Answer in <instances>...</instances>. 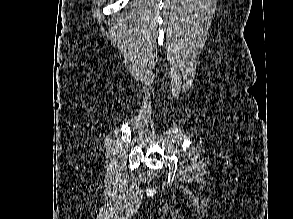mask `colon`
<instances>
[{
  "mask_svg": "<svg viewBox=\"0 0 293 219\" xmlns=\"http://www.w3.org/2000/svg\"><path fill=\"white\" fill-rule=\"evenodd\" d=\"M150 177H151L150 174H141L140 175V178L143 179V180L149 179Z\"/></svg>",
  "mask_w": 293,
  "mask_h": 219,
  "instance_id": "5ec220e1",
  "label": "colon"
}]
</instances>
